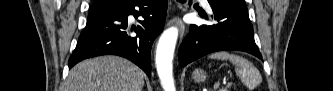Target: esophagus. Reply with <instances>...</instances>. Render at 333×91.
I'll list each match as a JSON object with an SVG mask.
<instances>
[{
	"mask_svg": "<svg viewBox=\"0 0 333 91\" xmlns=\"http://www.w3.org/2000/svg\"><path fill=\"white\" fill-rule=\"evenodd\" d=\"M169 23L175 24L176 26H178L179 32H180V39H182L184 32H185V25H184L183 21L179 17H175V18L171 19Z\"/></svg>",
	"mask_w": 333,
	"mask_h": 91,
	"instance_id": "obj_1",
	"label": "esophagus"
}]
</instances>
